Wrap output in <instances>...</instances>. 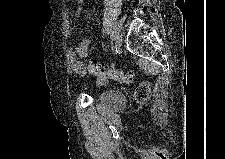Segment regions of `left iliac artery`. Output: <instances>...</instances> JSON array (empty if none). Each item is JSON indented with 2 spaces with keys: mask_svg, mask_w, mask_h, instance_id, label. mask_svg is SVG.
I'll use <instances>...</instances> for the list:
<instances>
[{
  "mask_svg": "<svg viewBox=\"0 0 225 159\" xmlns=\"http://www.w3.org/2000/svg\"><path fill=\"white\" fill-rule=\"evenodd\" d=\"M109 41L111 44H114L115 43V36H114V30L112 29L111 31H109Z\"/></svg>",
  "mask_w": 225,
  "mask_h": 159,
  "instance_id": "44dca946",
  "label": "left iliac artery"
}]
</instances>
